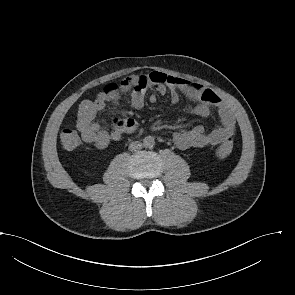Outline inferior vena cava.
<instances>
[{"mask_svg": "<svg viewBox=\"0 0 295 295\" xmlns=\"http://www.w3.org/2000/svg\"><path fill=\"white\" fill-rule=\"evenodd\" d=\"M140 149H142V143H140L139 141H133L129 145L130 151H138Z\"/></svg>", "mask_w": 295, "mask_h": 295, "instance_id": "inferior-vena-cava-1", "label": "inferior vena cava"}]
</instances>
